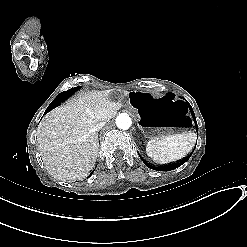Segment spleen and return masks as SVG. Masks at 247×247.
I'll use <instances>...</instances> for the list:
<instances>
[{
  "label": "spleen",
  "mask_w": 247,
  "mask_h": 247,
  "mask_svg": "<svg viewBox=\"0 0 247 247\" xmlns=\"http://www.w3.org/2000/svg\"><path fill=\"white\" fill-rule=\"evenodd\" d=\"M196 134L187 132L171 136L161 135L148 141L146 153L155 162L167 163L187 155L194 147Z\"/></svg>",
  "instance_id": "spleen-1"
}]
</instances>
